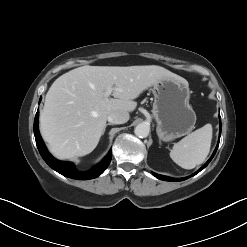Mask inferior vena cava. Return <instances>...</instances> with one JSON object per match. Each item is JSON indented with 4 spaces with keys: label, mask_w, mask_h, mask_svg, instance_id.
<instances>
[{
    "label": "inferior vena cava",
    "mask_w": 247,
    "mask_h": 247,
    "mask_svg": "<svg viewBox=\"0 0 247 247\" xmlns=\"http://www.w3.org/2000/svg\"><path fill=\"white\" fill-rule=\"evenodd\" d=\"M107 119L113 124H123L129 120V113L127 111H112Z\"/></svg>",
    "instance_id": "inferior-vena-cava-1"
}]
</instances>
